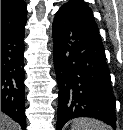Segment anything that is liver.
Masks as SVG:
<instances>
[{"instance_id":"6515ba94","label":"liver","mask_w":123,"mask_h":130,"mask_svg":"<svg viewBox=\"0 0 123 130\" xmlns=\"http://www.w3.org/2000/svg\"><path fill=\"white\" fill-rule=\"evenodd\" d=\"M1 130H18V125L3 112H1Z\"/></svg>"}]
</instances>
